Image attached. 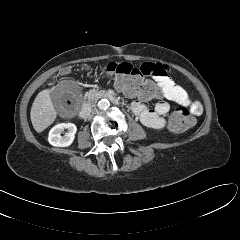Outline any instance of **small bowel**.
I'll use <instances>...</instances> for the list:
<instances>
[{
    "label": "small bowel",
    "mask_w": 240,
    "mask_h": 240,
    "mask_svg": "<svg viewBox=\"0 0 240 240\" xmlns=\"http://www.w3.org/2000/svg\"><path fill=\"white\" fill-rule=\"evenodd\" d=\"M139 68L145 76H150L157 82L164 97L156 103L153 109L141 101L131 103L133 113L139 117L142 124L149 128L162 129L166 124L164 116L170 110L168 101L188 108L195 116L202 114L203 106L201 102L193 100L183 87L175 83L167 66L161 63L145 62Z\"/></svg>",
    "instance_id": "1"
}]
</instances>
